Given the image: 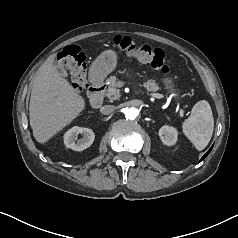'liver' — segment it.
Listing matches in <instances>:
<instances>
[{"label":"liver","mask_w":238,"mask_h":238,"mask_svg":"<svg viewBox=\"0 0 238 238\" xmlns=\"http://www.w3.org/2000/svg\"><path fill=\"white\" fill-rule=\"evenodd\" d=\"M51 55L37 70L29 104L33 136L43 144L69 125L85 108V100L54 66Z\"/></svg>","instance_id":"obj_1"}]
</instances>
